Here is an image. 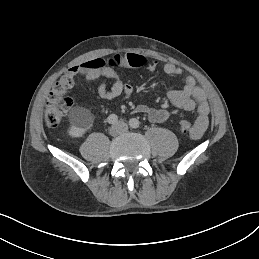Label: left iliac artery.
Segmentation results:
<instances>
[{"label":"left iliac artery","instance_id":"44dca946","mask_svg":"<svg viewBox=\"0 0 259 259\" xmlns=\"http://www.w3.org/2000/svg\"><path fill=\"white\" fill-rule=\"evenodd\" d=\"M129 125H130V127L136 129V128H138L140 126V122L136 118H132L129 121Z\"/></svg>","mask_w":259,"mask_h":259}]
</instances>
